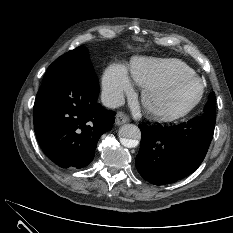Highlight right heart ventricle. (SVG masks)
<instances>
[{
    "instance_id": "1",
    "label": "right heart ventricle",
    "mask_w": 233,
    "mask_h": 233,
    "mask_svg": "<svg viewBox=\"0 0 233 233\" xmlns=\"http://www.w3.org/2000/svg\"><path fill=\"white\" fill-rule=\"evenodd\" d=\"M135 83L141 87L163 82L180 75L194 74V70L178 59L136 57L129 65Z\"/></svg>"
}]
</instances>
